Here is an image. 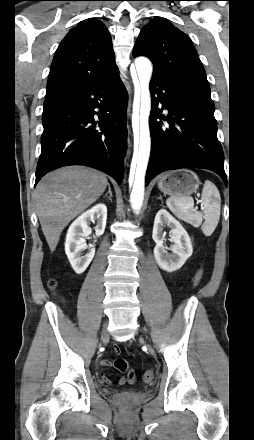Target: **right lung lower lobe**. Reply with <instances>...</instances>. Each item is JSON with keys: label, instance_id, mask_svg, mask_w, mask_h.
<instances>
[{"label": "right lung lower lobe", "instance_id": "98d812e1", "mask_svg": "<svg viewBox=\"0 0 254 440\" xmlns=\"http://www.w3.org/2000/svg\"><path fill=\"white\" fill-rule=\"evenodd\" d=\"M127 91L119 77L81 82L47 94L36 181L68 165L123 179Z\"/></svg>", "mask_w": 254, "mask_h": 440}]
</instances>
